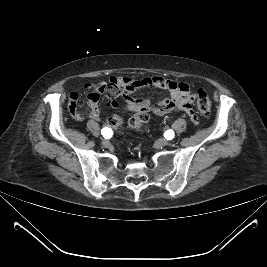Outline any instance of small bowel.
Masks as SVG:
<instances>
[{
	"instance_id": "small-bowel-1",
	"label": "small bowel",
	"mask_w": 267,
	"mask_h": 267,
	"mask_svg": "<svg viewBox=\"0 0 267 267\" xmlns=\"http://www.w3.org/2000/svg\"><path fill=\"white\" fill-rule=\"evenodd\" d=\"M90 93L87 95V113L93 119H99L98 101L100 94H106L109 106H118L117 97H121L131 106L145 109L150 113L163 116L174 111L185 113L193 124H198V118L193 111L191 103L194 94L191 87L185 82H178L163 77H146L136 79L132 77H111L109 83L99 82L86 86ZM143 87L158 88L165 90V95L157 104H151L149 100L133 99L131 94ZM78 94L69 95L68 104L74 118L80 119L81 114L77 111Z\"/></svg>"
}]
</instances>
